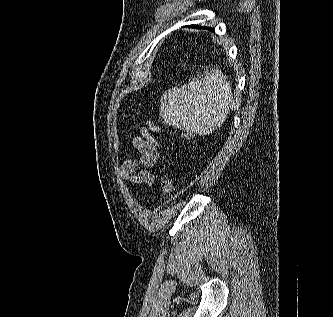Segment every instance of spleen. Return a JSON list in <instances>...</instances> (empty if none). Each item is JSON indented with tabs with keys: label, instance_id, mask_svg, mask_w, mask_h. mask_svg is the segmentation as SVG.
<instances>
[{
	"label": "spleen",
	"instance_id": "1",
	"mask_svg": "<svg viewBox=\"0 0 333 317\" xmlns=\"http://www.w3.org/2000/svg\"><path fill=\"white\" fill-rule=\"evenodd\" d=\"M232 101L230 83L216 70L165 91L160 99V117L169 126L207 135L225 122Z\"/></svg>",
	"mask_w": 333,
	"mask_h": 317
}]
</instances>
